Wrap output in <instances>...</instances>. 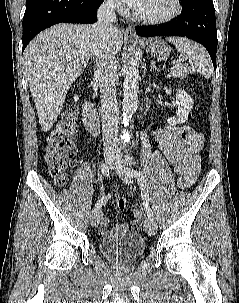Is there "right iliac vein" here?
<instances>
[{
	"instance_id": "63e3f726",
	"label": "right iliac vein",
	"mask_w": 239,
	"mask_h": 303,
	"mask_svg": "<svg viewBox=\"0 0 239 303\" xmlns=\"http://www.w3.org/2000/svg\"><path fill=\"white\" fill-rule=\"evenodd\" d=\"M105 163L109 168H112L115 164V158L111 155H106L105 156ZM102 217V212L101 210L95 212L91 216V224L93 227H97L99 225V222Z\"/></svg>"
}]
</instances>
